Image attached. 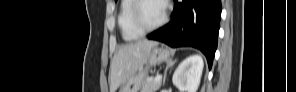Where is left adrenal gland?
I'll list each match as a JSON object with an SVG mask.
<instances>
[{"mask_svg":"<svg viewBox=\"0 0 296 92\" xmlns=\"http://www.w3.org/2000/svg\"><path fill=\"white\" fill-rule=\"evenodd\" d=\"M177 60H173L171 59L167 65H166V69H165V72H164V76H163V83L162 85L164 86L165 85V82H166V77H167V71L169 68L173 67V65L176 63Z\"/></svg>","mask_w":296,"mask_h":92,"instance_id":"left-adrenal-gland-1","label":"left adrenal gland"}]
</instances>
